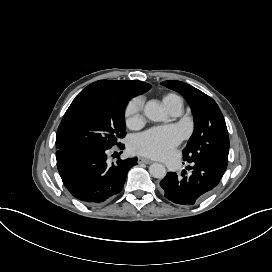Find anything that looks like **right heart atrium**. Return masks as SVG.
Masks as SVG:
<instances>
[{"label": "right heart atrium", "instance_id": "right-heart-atrium-1", "mask_svg": "<svg viewBox=\"0 0 272 272\" xmlns=\"http://www.w3.org/2000/svg\"><path fill=\"white\" fill-rule=\"evenodd\" d=\"M143 108V99L141 97H136L132 99L126 109V121L127 124L135 127L139 125L141 116L140 112Z\"/></svg>", "mask_w": 272, "mask_h": 272}]
</instances>
